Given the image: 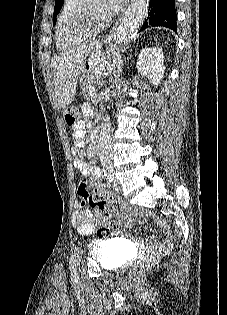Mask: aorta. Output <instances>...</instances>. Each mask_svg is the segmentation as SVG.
<instances>
[{"mask_svg": "<svg viewBox=\"0 0 227 315\" xmlns=\"http://www.w3.org/2000/svg\"><path fill=\"white\" fill-rule=\"evenodd\" d=\"M134 32V27L130 22H123L117 29L115 34V41L117 43H124ZM110 136H111V122L110 116L106 115L103 118V122L100 127L99 134V152L100 159L109 163L111 161V144H110Z\"/></svg>", "mask_w": 227, "mask_h": 315, "instance_id": "aorta-1", "label": "aorta"}]
</instances>
